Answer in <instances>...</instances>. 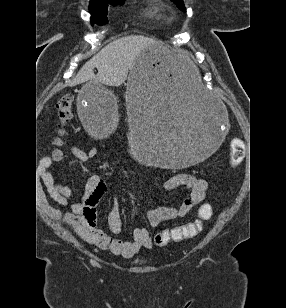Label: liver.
<instances>
[{"mask_svg": "<svg viewBox=\"0 0 286 308\" xmlns=\"http://www.w3.org/2000/svg\"><path fill=\"white\" fill-rule=\"evenodd\" d=\"M150 46L159 47L164 54L178 60L186 67L191 65L185 51L173 53L154 39L142 35H131L117 39L102 48L83 65L72 85L94 80L97 83L118 87L126 81L135 59ZM94 68L98 70L96 75Z\"/></svg>", "mask_w": 286, "mask_h": 308, "instance_id": "obj_1", "label": "liver"}]
</instances>
